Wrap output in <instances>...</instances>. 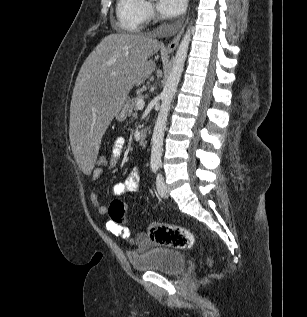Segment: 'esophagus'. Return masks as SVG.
I'll return each instance as SVG.
<instances>
[{"instance_id":"34e87169","label":"esophagus","mask_w":307,"mask_h":317,"mask_svg":"<svg viewBox=\"0 0 307 317\" xmlns=\"http://www.w3.org/2000/svg\"><path fill=\"white\" fill-rule=\"evenodd\" d=\"M183 30H184V26L181 28V30L177 34V36L167 45V47L165 49L166 52H173L176 49V47L180 41V38L182 36Z\"/></svg>"}]
</instances>
